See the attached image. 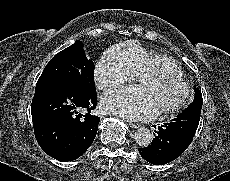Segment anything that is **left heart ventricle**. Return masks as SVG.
I'll return each mask as SVG.
<instances>
[{"instance_id":"1","label":"left heart ventricle","mask_w":230,"mask_h":181,"mask_svg":"<svg viewBox=\"0 0 230 181\" xmlns=\"http://www.w3.org/2000/svg\"><path fill=\"white\" fill-rule=\"evenodd\" d=\"M140 91L147 103L155 110L174 104L182 94L178 84L160 80L146 82Z\"/></svg>"}]
</instances>
